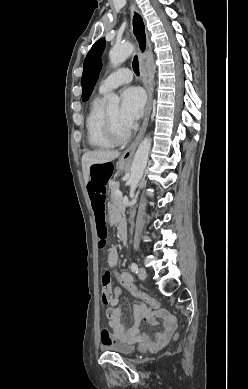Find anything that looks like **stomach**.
<instances>
[{
	"label": "stomach",
	"instance_id": "1",
	"mask_svg": "<svg viewBox=\"0 0 248 389\" xmlns=\"http://www.w3.org/2000/svg\"><path fill=\"white\" fill-rule=\"evenodd\" d=\"M127 165V162L125 161H118L117 162V169L123 170L125 166ZM108 218L111 220L110 224L114 226H118L120 224V221L122 219V214L118 210V205L117 204H111L109 206V211H108Z\"/></svg>",
	"mask_w": 248,
	"mask_h": 389
}]
</instances>
